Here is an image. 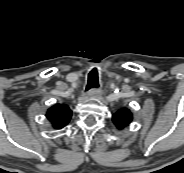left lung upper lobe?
Masks as SVG:
<instances>
[{
	"mask_svg": "<svg viewBox=\"0 0 184 173\" xmlns=\"http://www.w3.org/2000/svg\"><path fill=\"white\" fill-rule=\"evenodd\" d=\"M132 119H133L132 113L125 108L120 109L112 116V120L119 130H122L125 127L129 126Z\"/></svg>",
	"mask_w": 184,
	"mask_h": 173,
	"instance_id": "1",
	"label": "left lung upper lobe"
}]
</instances>
